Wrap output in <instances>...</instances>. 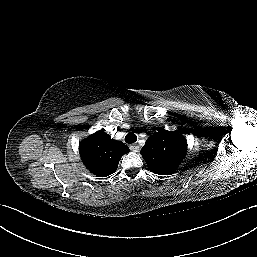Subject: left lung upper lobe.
Listing matches in <instances>:
<instances>
[{
  "mask_svg": "<svg viewBox=\"0 0 257 257\" xmlns=\"http://www.w3.org/2000/svg\"><path fill=\"white\" fill-rule=\"evenodd\" d=\"M186 150V139L178 131L162 130L147 139L141 154L152 172L168 175L180 165Z\"/></svg>",
  "mask_w": 257,
  "mask_h": 257,
  "instance_id": "obj_1",
  "label": "left lung upper lobe"
}]
</instances>
